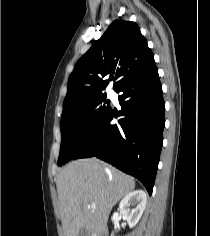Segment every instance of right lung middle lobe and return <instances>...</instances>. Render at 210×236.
Returning a JSON list of instances; mask_svg holds the SVG:
<instances>
[{"instance_id":"dd1d6c3e","label":"right lung middle lobe","mask_w":210,"mask_h":236,"mask_svg":"<svg viewBox=\"0 0 210 236\" xmlns=\"http://www.w3.org/2000/svg\"><path fill=\"white\" fill-rule=\"evenodd\" d=\"M106 94L83 102L76 109L62 114L61 147L58 165L71 160L100 125L111 108Z\"/></svg>"}]
</instances>
